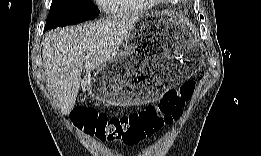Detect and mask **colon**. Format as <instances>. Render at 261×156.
I'll use <instances>...</instances> for the list:
<instances>
[{
  "label": "colon",
  "mask_w": 261,
  "mask_h": 156,
  "mask_svg": "<svg viewBox=\"0 0 261 156\" xmlns=\"http://www.w3.org/2000/svg\"><path fill=\"white\" fill-rule=\"evenodd\" d=\"M194 88L195 82L187 81L167 92L157 104L123 116L108 117L91 107H81L71 118L77 127L101 142L135 145L177 120Z\"/></svg>",
  "instance_id": "5ec220e1"
}]
</instances>
